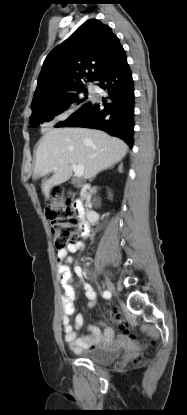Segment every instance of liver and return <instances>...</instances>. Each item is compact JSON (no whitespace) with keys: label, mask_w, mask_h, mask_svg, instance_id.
I'll use <instances>...</instances> for the list:
<instances>
[{"label":"liver","mask_w":187,"mask_h":415,"mask_svg":"<svg viewBox=\"0 0 187 415\" xmlns=\"http://www.w3.org/2000/svg\"><path fill=\"white\" fill-rule=\"evenodd\" d=\"M128 151L127 144L100 130L85 128H55L39 141L33 180L53 172L42 182L46 199L51 189L72 176V164L84 166V178L90 179L100 171L118 163ZM57 169H54V168Z\"/></svg>","instance_id":"liver-1"}]
</instances>
